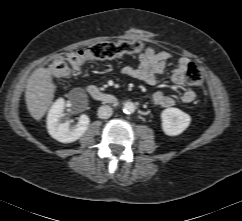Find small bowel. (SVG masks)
<instances>
[{"instance_id":"c3829d8e","label":"small bowel","mask_w":242,"mask_h":221,"mask_svg":"<svg viewBox=\"0 0 242 221\" xmlns=\"http://www.w3.org/2000/svg\"><path fill=\"white\" fill-rule=\"evenodd\" d=\"M172 57L169 52H155L154 49L148 47L143 53L138 55L139 64L136 67L124 66L121 73L125 76L139 79L149 85H155L159 75L165 70L166 62ZM189 64V59L180 57L177 59L176 65L171 73V82L177 87L185 86V72ZM196 98V94L191 89H186L181 96V101L185 104L192 103ZM153 102L157 106L164 108L172 107L176 101L172 96L162 91H157L153 95Z\"/></svg>"}]
</instances>
